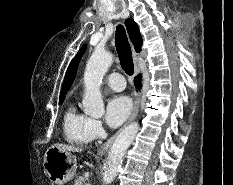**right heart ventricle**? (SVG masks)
I'll list each match as a JSON object with an SVG mask.
<instances>
[{
  "mask_svg": "<svg viewBox=\"0 0 233 185\" xmlns=\"http://www.w3.org/2000/svg\"><path fill=\"white\" fill-rule=\"evenodd\" d=\"M89 117L80 112L75 104H71L65 112L63 127L68 142L76 145H84L90 142L87 125Z\"/></svg>",
  "mask_w": 233,
  "mask_h": 185,
  "instance_id": "e07e8e85",
  "label": "right heart ventricle"
}]
</instances>
